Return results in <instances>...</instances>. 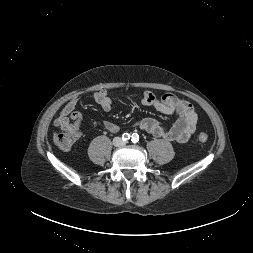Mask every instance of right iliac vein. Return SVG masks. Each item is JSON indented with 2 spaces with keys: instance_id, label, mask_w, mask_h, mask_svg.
Listing matches in <instances>:
<instances>
[{
  "instance_id": "1",
  "label": "right iliac vein",
  "mask_w": 253,
  "mask_h": 253,
  "mask_svg": "<svg viewBox=\"0 0 253 253\" xmlns=\"http://www.w3.org/2000/svg\"><path fill=\"white\" fill-rule=\"evenodd\" d=\"M115 144H119V140L118 139L115 141Z\"/></svg>"
}]
</instances>
